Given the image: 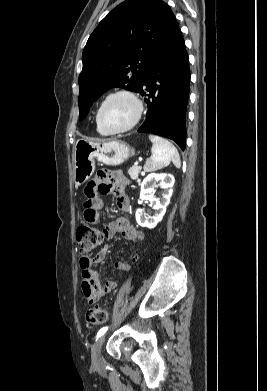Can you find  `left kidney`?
<instances>
[{
	"label": "left kidney",
	"mask_w": 267,
	"mask_h": 391,
	"mask_svg": "<svg viewBox=\"0 0 267 391\" xmlns=\"http://www.w3.org/2000/svg\"><path fill=\"white\" fill-rule=\"evenodd\" d=\"M159 183V184H157ZM175 178L171 174H149L141 183L140 201L149 200L153 205L155 213L152 217L145 215L143 209H137L136 221L141 227H147L149 229L154 228L163 218L166 213V208L170 203V198L173 193V185ZM160 186L163 189L162 198H156L152 195L155 188Z\"/></svg>",
	"instance_id": "5707ae66"
}]
</instances>
